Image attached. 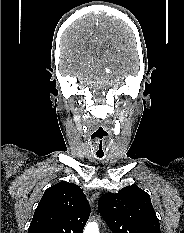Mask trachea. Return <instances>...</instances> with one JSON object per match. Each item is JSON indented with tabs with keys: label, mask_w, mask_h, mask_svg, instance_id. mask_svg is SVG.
<instances>
[{
	"label": "trachea",
	"mask_w": 184,
	"mask_h": 233,
	"mask_svg": "<svg viewBox=\"0 0 184 233\" xmlns=\"http://www.w3.org/2000/svg\"><path fill=\"white\" fill-rule=\"evenodd\" d=\"M107 135L103 127L97 128L91 135V138L94 139L95 142V154L98 158H102L105 155V139Z\"/></svg>",
	"instance_id": "trachea-1"
}]
</instances>
